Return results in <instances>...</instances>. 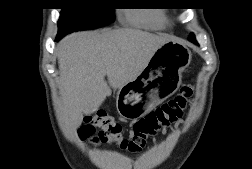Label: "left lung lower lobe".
I'll return each instance as SVG.
<instances>
[{"mask_svg":"<svg viewBox=\"0 0 252 169\" xmlns=\"http://www.w3.org/2000/svg\"><path fill=\"white\" fill-rule=\"evenodd\" d=\"M189 41H191V42L197 44V42L195 41V39H189Z\"/></svg>","mask_w":252,"mask_h":169,"instance_id":"1","label":"left lung lower lobe"}]
</instances>
